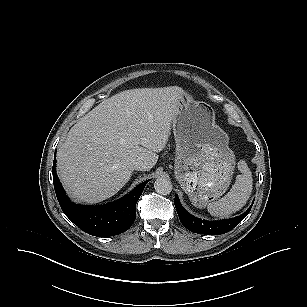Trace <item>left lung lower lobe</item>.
I'll list each match as a JSON object with an SVG mask.
<instances>
[{
  "mask_svg": "<svg viewBox=\"0 0 307 307\" xmlns=\"http://www.w3.org/2000/svg\"><path fill=\"white\" fill-rule=\"evenodd\" d=\"M252 205L244 214L235 218L219 221H206L189 214L181 205L178 196H175V207L181 223L191 232L206 235H220L232 230L248 215Z\"/></svg>",
  "mask_w": 307,
  "mask_h": 307,
  "instance_id": "0a47b994",
  "label": "left lung lower lobe"
}]
</instances>
